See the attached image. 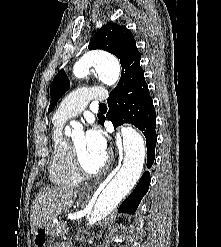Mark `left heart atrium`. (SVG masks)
Masks as SVG:
<instances>
[{
    "label": "left heart atrium",
    "instance_id": "left-heart-atrium-1",
    "mask_svg": "<svg viewBox=\"0 0 221 247\" xmlns=\"http://www.w3.org/2000/svg\"><path fill=\"white\" fill-rule=\"evenodd\" d=\"M84 134L89 148L95 153L105 156L107 142L102 130L99 127L93 125Z\"/></svg>",
    "mask_w": 221,
    "mask_h": 247
}]
</instances>
